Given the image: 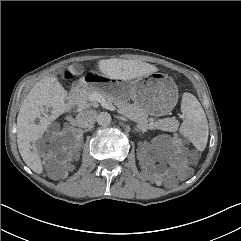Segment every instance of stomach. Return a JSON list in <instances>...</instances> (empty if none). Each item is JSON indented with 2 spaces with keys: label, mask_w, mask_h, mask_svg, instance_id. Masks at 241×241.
I'll return each instance as SVG.
<instances>
[{
  "label": "stomach",
  "mask_w": 241,
  "mask_h": 241,
  "mask_svg": "<svg viewBox=\"0 0 241 241\" xmlns=\"http://www.w3.org/2000/svg\"><path fill=\"white\" fill-rule=\"evenodd\" d=\"M83 89H94L117 100L132 99L147 114L162 116L173 110L178 101V88L168 75L153 72L133 81L111 79L104 75L83 77Z\"/></svg>",
  "instance_id": "0dacf381"
}]
</instances>
